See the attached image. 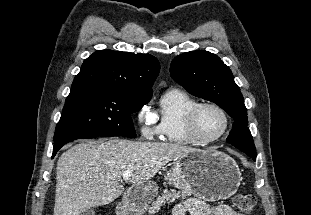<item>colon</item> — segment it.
Here are the masks:
<instances>
[{"mask_svg": "<svg viewBox=\"0 0 311 215\" xmlns=\"http://www.w3.org/2000/svg\"><path fill=\"white\" fill-rule=\"evenodd\" d=\"M233 204L241 215H249L256 205V198L252 194H237L233 197Z\"/></svg>", "mask_w": 311, "mask_h": 215, "instance_id": "colon-1", "label": "colon"}]
</instances>
